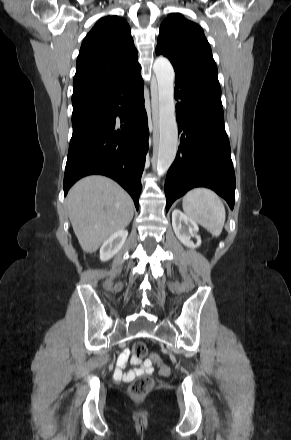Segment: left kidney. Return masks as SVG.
Here are the masks:
<instances>
[{
  "instance_id": "left-kidney-1",
  "label": "left kidney",
  "mask_w": 291,
  "mask_h": 440,
  "mask_svg": "<svg viewBox=\"0 0 291 440\" xmlns=\"http://www.w3.org/2000/svg\"><path fill=\"white\" fill-rule=\"evenodd\" d=\"M172 226L176 237L183 245L189 248H196L201 245L197 223L179 209H174L172 212ZM191 238H195L197 243L194 244Z\"/></svg>"
}]
</instances>
